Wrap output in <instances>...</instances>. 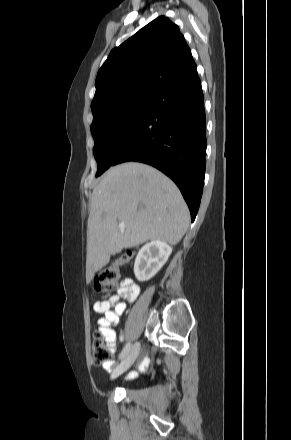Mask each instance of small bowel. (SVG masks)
<instances>
[{"instance_id": "small-bowel-1", "label": "small bowel", "mask_w": 291, "mask_h": 440, "mask_svg": "<svg viewBox=\"0 0 291 440\" xmlns=\"http://www.w3.org/2000/svg\"><path fill=\"white\" fill-rule=\"evenodd\" d=\"M121 291L123 300L119 295H113L108 299L97 301L93 305V309L97 313H103L104 316L98 320V329L100 333L105 337L106 344L113 356L116 351V333L113 326L117 325L120 316L125 312L127 306L131 304L139 295L140 288L137 284L129 279H125L121 284ZM148 362L144 360L141 364V368L144 369ZM114 365V361H109L102 364L103 368L110 372ZM130 376H132L130 374Z\"/></svg>"}]
</instances>
